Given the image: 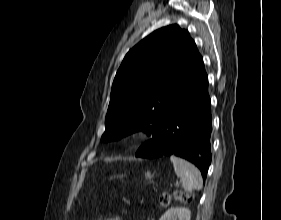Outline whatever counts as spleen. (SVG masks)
Listing matches in <instances>:
<instances>
[{"label":"spleen","instance_id":"spleen-1","mask_svg":"<svg viewBox=\"0 0 281 220\" xmlns=\"http://www.w3.org/2000/svg\"><path fill=\"white\" fill-rule=\"evenodd\" d=\"M170 160L173 163L176 175L182 181V187L186 191H191L193 189H202V176L195 165L174 155L170 157Z\"/></svg>","mask_w":281,"mask_h":220}]
</instances>
